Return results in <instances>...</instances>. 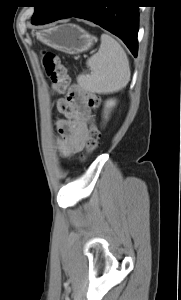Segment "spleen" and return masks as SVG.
I'll return each mask as SVG.
<instances>
[{
  "mask_svg": "<svg viewBox=\"0 0 181 300\" xmlns=\"http://www.w3.org/2000/svg\"><path fill=\"white\" fill-rule=\"evenodd\" d=\"M90 74H80L77 82L86 91L110 94L124 88L130 80L129 60L122 46L110 35H101L96 54L87 60Z\"/></svg>",
  "mask_w": 181,
  "mask_h": 300,
  "instance_id": "obj_1",
  "label": "spleen"
}]
</instances>
